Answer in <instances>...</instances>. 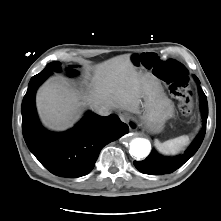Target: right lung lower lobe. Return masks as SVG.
<instances>
[{"instance_id": "right-lung-lower-lobe-1", "label": "right lung lower lobe", "mask_w": 221, "mask_h": 221, "mask_svg": "<svg viewBox=\"0 0 221 221\" xmlns=\"http://www.w3.org/2000/svg\"><path fill=\"white\" fill-rule=\"evenodd\" d=\"M50 74V71L39 73L29 82L21 108L23 136L30 151L51 173L81 177L93 169L101 149L128 133L129 128L114 114L101 117L89 112L66 132L44 129L37 118L35 93Z\"/></svg>"}]
</instances>
